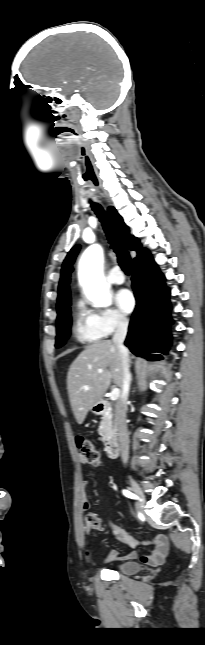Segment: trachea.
I'll return each mask as SVG.
<instances>
[{"mask_svg":"<svg viewBox=\"0 0 205 645\" xmlns=\"http://www.w3.org/2000/svg\"><path fill=\"white\" fill-rule=\"evenodd\" d=\"M92 209L94 210L95 214L99 218L100 222L102 223L103 229L106 233L107 239L111 245V248L114 250V252L117 255V260L118 263L121 267V269L127 274H131V259L129 256L128 251L124 247L117 230L111 221L110 217L107 215V213L103 210V208L97 204V203H92L91 204Z\"/></svg>","mask_w":205,"mask_h":645,"instance_id":"trachea-1","label":"trachea"}]
</instances>
